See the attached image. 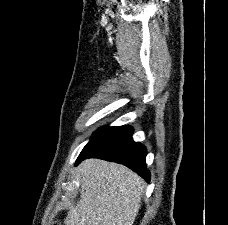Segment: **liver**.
<instances>
[{
	"label": "liver",
	"mask_w": 228,
	"mask_h": 225,
	"mask_svg": "<svg viewBox=\"0 0 228 225\" xmlns=\"http://www.w3.org/2000/svg\"><path fill=\"white\" fill-rule=\"evenodd\" d=\"M76 171L81 179L80 199L65 225H134L146 187L141 177L100 159H87Z\"/></svg>",
	"instance_id": "1"
}]
</instances>
